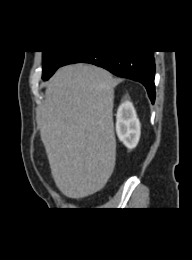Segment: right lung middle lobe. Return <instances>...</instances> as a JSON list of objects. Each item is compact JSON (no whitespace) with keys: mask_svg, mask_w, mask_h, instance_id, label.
Wrapping results in <instances>:
<instances>
[{"mask_svg":"<svg viewBox=\"0 0 192 260\" xmlns=\"http://www.w3.org/2000/svg\"><path fill=\"white\" fill-rule=\"evenodd\" d=\"M70 54L71 52L69 51H43L42 79L48 80L54 74V72L62 66Z\"/></svg>","mask_w":192,"mask_h":260,"instance_id":"right-lung-middle-lobe-1","label":"right lung middle lobe"}]
</instances>
